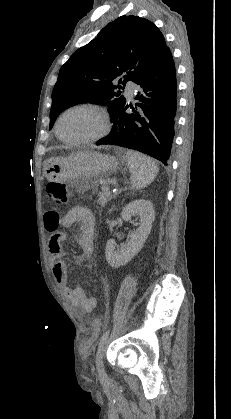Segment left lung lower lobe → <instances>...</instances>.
Returning <instances> with one entry per match:
<instances>
[{
  "label": "left lung lower lobe",
  "instance_id": "0a47b994",
  "mask_svg": "<svg viewBox=\"0 0 231 419\" xmlns=\"http://www.w3.org/2000/svg\"><path fill=\"white\" fill-rule=\"evenodd\" d=\"M135 83L136 107L132 113L125 104L112 117L109 135L96 142L114 144L144 152L167 165L170 157L176 116V72L171 51L152 65Z\"/></svg>",
  "mask_w": 231,
  "mask_h": 419
}]
</instances>
